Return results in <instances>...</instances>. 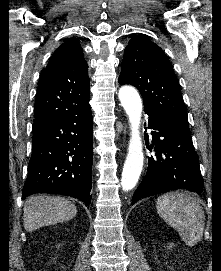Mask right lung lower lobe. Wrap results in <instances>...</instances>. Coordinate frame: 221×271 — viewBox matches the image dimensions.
Wrapping results in <instances>:
<instances>
[{
  "label": "right lung lower lobe",
  "instance_id": "98d812e1",
  "mask_svg": "<svg viewBox=\"0 0 221 271\" xmlns=\"http://www.w3.org/2000/svg\"><path fill=\"white\" fill-rule=\"evenodd\" d=\"M92 132L90 107L34 128L32 157L22 198L51 193L90 204Z\"/></svg>",
  "mask_w": 221,
  "mask_h": 271
}]
</instances>
